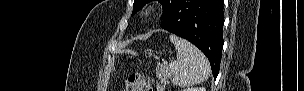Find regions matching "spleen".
<instances>
[{
	"instance_id": "obj_1",
	"label": "spleen",
	"mask_w": 304,
	"mask_h": 91,
	"mask_svg": "<svg viewBox=\"0 0 304 91\" xmlns=\"http://www.w3.org/2000/svg\"><path fill=\"white\" fill-rule=\"evenodd\" d=\"M170 41L177 50V69L172 82L180 87H189L208 79L210 64L196 46L183 38L171 35Z\"/></svg>"
}]
</instances>
